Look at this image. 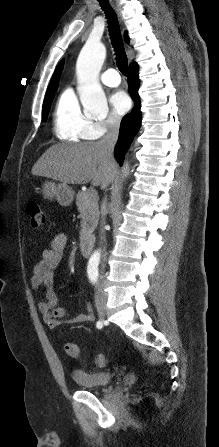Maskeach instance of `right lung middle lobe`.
I'll return each mask as SVG.
<instances>
[{"instance_id": "dd1d6c3e", "label": "right lung middle lobe", "mask_w": 219, "mask_h": 447, "mask_svg": "<svg viewBox=\"0 0 219 447\" xmlns=\"http://www.w3.org/2000/svg\"><path fill=\"white\" fill-rule=\"evenodd\" d=\"M53 98H54V95H52L44 100L43 107H42V115H43L44 121H46L48 111L50 108V104H51Z\"/></svg>"}]
</instances>
